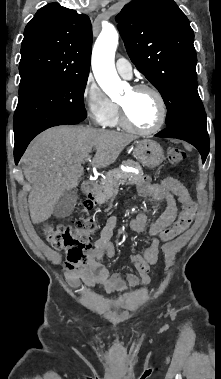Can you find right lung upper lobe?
<instances>
[{"label": "right lung upper lobe", "mask_w": 221, "mask_h": 379, "mask_svg": "<svg viewBox=\"0 0 221 379\" xmlns=\"http://www.w3.org/2000/svg\"><path fill=\"white\" fill-rule=\"evenodd\" d=\"M92 47L87 15L50 3L27 24L21 45L20 87L88 77Z\"/></svg>", "instance_id": "right-lung-upper-lobe-1"}]
</instances>
